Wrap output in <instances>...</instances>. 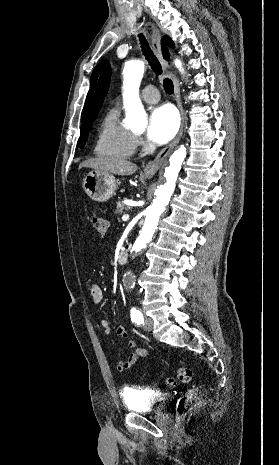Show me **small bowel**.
<instances>
[{
    "mask_svg": "<svg viewBox=\"0 0 279 465\" xmlns=\"http://www.w3.org/2000/svg\"><path fill=\"white\" fill-rule=\"evenodd\" d=\"M90 297L95 305L102 303L104 295L103 291L98 285H93L90 289ZM103 331L105 334H110L112 332L111 323L108 320H102L101 322ZM117 334L125 339L129 338L128 331L124 327H119L117 329ZM127 346L130 349V353L123 359L119 360L117 363V370L120 372L127 371L133 367L138 361H143L147 357V350L144 348L137 347V344L134 340L129 339Z\"/></svg>",
    "mask_w": 279,
    "mask_h": 465,
    "instance_id": "small-bowel-1",
    "label": "small bowel"
}]
</instances>
